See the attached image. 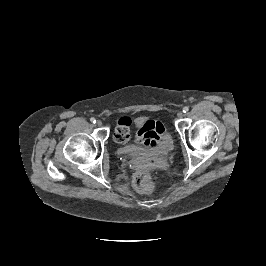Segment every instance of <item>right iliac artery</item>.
<instances>
[{
    "label": "right iliac artery",
    "instance_id": "82829eb1",
    "mask_svg": "<svg viewBox=\"0 0 266 266\" xmlns=\"http://www.w3.org/2000/svg\"><path fill=\"white\" fill-rule=\"evenodd\" d=\"M90 121H91V123H96L95 118H91Z\"/></svg>",
    "mask_w": 266,
    "mask_h": 266
}]
</instances>
